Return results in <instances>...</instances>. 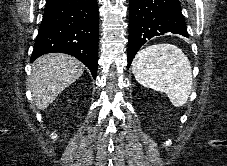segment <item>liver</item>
<instances>
[{
  "label": "liver",
  "mask_w": 227,
  "mask_h": 166,
  "mask_svg": "<svg viewBox=\"0 0 227 166\" xmlns=\"http://www.w3.org/2000/svg\"><path fill=\"white\" fill-rule=\"evenodd\" d=\"M84 68L79 60L62 53L46 54L36 59L30 77L36 107L46 109L65 88L81 77Z\"/></svg>",
  "instance_id": "liver-1"
}]
</instances>
